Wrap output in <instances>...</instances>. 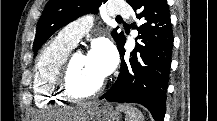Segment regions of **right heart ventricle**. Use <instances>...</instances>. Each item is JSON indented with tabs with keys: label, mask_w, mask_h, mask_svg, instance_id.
I'll return each instance as SVG.
<instances>
[{
	"label": "right heart ventricle",
	"mask_w": 217,
	"mask_h": 121,
	"mask_svg": "<svg viewBox=\"0 0 217 121\" xmlns=\"http://www.w3.org/2000/svg\"><path fill=\"white\" fill-rule=\"evenodd\" d=\"M74 45L55 37L40 51L34 66L35 102L41 107H50L63 101L58 95L55 81L63 62Z\"/></svg>",
	"instance_id": "right-heart-ventricle-1"
}]
</instances>
